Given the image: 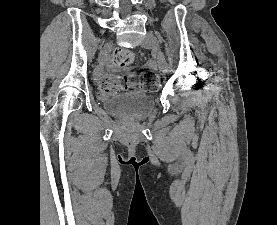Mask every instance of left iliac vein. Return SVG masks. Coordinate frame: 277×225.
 <instances>
[{
  "instance_id": "obj_1",
  "label": "left iliac vein",
  "mask_w": 277,
  "mask_h": 225,
  "mask_svg": "<svg viewBox=\"0 0 277 225\" xmlns=\"http://www.w3.org/2000/svg\"><path fill=\"white\" fill-rule=\"evenodd\" d=\"M141 45L144 48L151 49L155 53L159 70L162 72H167L166 59L159 47V42L155 35L151 32H148L144 37Z\"/></svg>"
}]
</instances>
